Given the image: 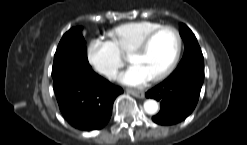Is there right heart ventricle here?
Segmentation results:
<instances>
[{
	"instance_id": "right-heart-ventricle-1",
	"label": "right heart ventricle",
	"mask_w": 247,
	"mask_h": 145,
	"mask_svg": "<svg viewBox=\"0 0 247 145\" xmlns=\"http://www.w3.org/2000/svg\"><path fill=\"white\" fill-rule=\"evenodd\" d=\"M161 24L152 21L128 22L109 30L108 36L120 53L126 54L149 32Z\"/></svg>"
}]
</instances>
